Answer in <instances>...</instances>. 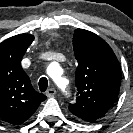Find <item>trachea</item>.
Listing matches in <instances>:
<instances>
[{"instance_id": "3493384b", "label": "trachea", "mask_w": 133, "mask_h": 133, "mask_svg": "<svg viewBox=\"0 0 133 133\" xmlns=\"http://www.w3.org/2000/svg\"><path fill=\"white\" fill-rule=\"evenodd\" d=\"M47 87H48V80H47V78L42 77L39 80V89H40V91H42V92L46 91Z\"/></svg>"}]
</instances>
